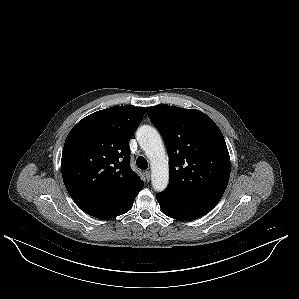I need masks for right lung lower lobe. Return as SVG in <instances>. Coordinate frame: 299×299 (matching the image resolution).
Masks as SVG:
<instances>
[{
    "label": "right lung lower lobe",
    "mask_w": 299,
    "mask_h": 299,
    "mask_svg": "<svg viewBox=\"0 0 299 299\" xmlns=\"http://www.w3.org/2000/svg\"><path fill=\"white\" fill-rule=\"evenodd\" d=\"M75 202L85 213L100 219H109L126 213L131 208L134 201L126 208L119 210V198L117 193L109 192Z\"/></svg>",
    "instance_id": "1"
}]
</instances>
